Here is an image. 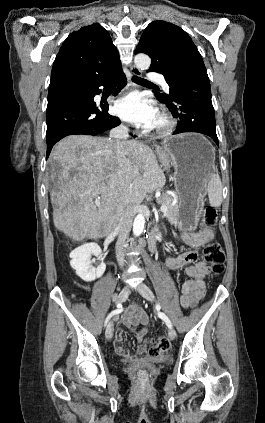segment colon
Masks as SVG:
<instances>
[{
	"label": "colon",
	"mask_w": 265,
	"mask_h": 423,
	"mask_svg": "<svg viewBox=\"0 0 265 423\" xmlns=\"http://www.w3.org/2000/svg\"><path fill=\"white\" fill-rule=\"evenodd\" d=\"M217 219L216 211L212 208L205 209L202 223L205 227L211 228L215 225ZM204 261L210 267L214 276L220 275L225 268V253L218 242H209L203 249ZM148 348V355L153 359L163 358L169 351L171 344L167 337L159 336L151 340ZM139 378L145 379L146 373L139 372Z\"/></svg>",
	"instance_id": "colon-1"
}]
</instances>
